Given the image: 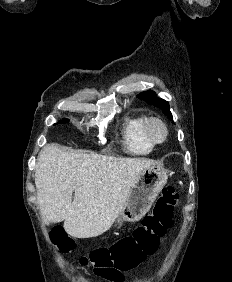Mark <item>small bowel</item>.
<instances>
[{
    "mask_svg": "<svg viewBox=\"0 0 232 282\" xmlns=\"http://www.w3.org/2000/svg\"><path fill=\"white\" fill-rule=\"evenodd\" d=\"M103 277L111 282H125L126 281V277L122 271H113L110 274H107Z\"/></svg>",
    "mask_w": 232,
    "mask_h": 282,
    "instance_id": "1",
    "label": "small bowel"
}]
</instances>
